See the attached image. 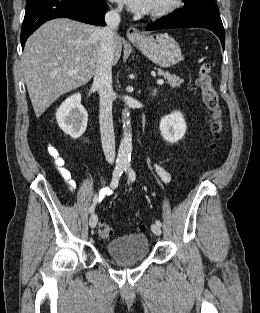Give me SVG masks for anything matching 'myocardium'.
<instances>
[{"label": "myocardium", "mask_w": 260, "mask_h": 313, "mask_svg": "<svg viewBox=\"0 0 260 313\" xmlns=\"http://www.w3.org/2000/svg\"><path fill=\"white\" fill-rule=\"evenodd\" d=\"M182 5V0H168L165 5L160 8L152 9L150 16L154 18H161L168 16L177 11Z\"/></svg>", "instance_id": "1"}]
</instances>
